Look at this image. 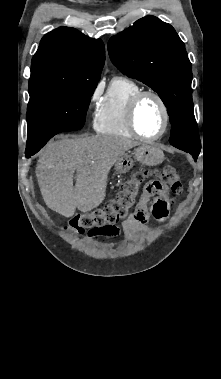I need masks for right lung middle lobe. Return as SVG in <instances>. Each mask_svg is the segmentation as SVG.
<instances>
[{
    "mask_svg": "<svg viewBox=\"0 0 221 379\" xmlns=\"http://www.w3.org/2000/svg\"><path fill=\"white\" fill-rule=\"evenodd\" d=\"M95 88L78 84L30 95L27 145L44 146L57 133L81 129Z\"/></svg>",
    "mask_w": 221,
    "mask_h": 379,
    "instance_id": "1",
    "label": "right lung middle lobe"
}]
</instances>
